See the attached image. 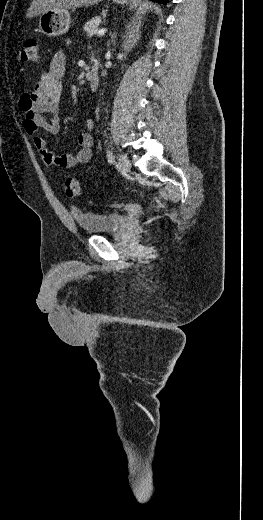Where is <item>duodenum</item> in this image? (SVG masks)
I'll use <instances>...</instances> for the list:
<instances>
[{"instance_id":"duodenum-1","label":"duodenum","mask_w":263,"mask_h":520,"mask_svg":"<svg viewBox=\"0 0 263 520\" xmlns=\"http://www.w3.org/2000/svg\"><path fill=\"white\" fill-rule=\"evenodd\" d=\"M87 80L89 82L91 91H97L100 84V76L97 62L95 63L94 68L87 74Z\"/></svg>"}]
</instances>
